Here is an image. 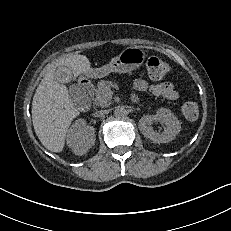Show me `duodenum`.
<instances>
[{"mask_svg": "<svg viewBox=\"0 0 231 231\" xmlns=\"http://www.w3.org/2000/svg\"><path fill=\"white\" fill-rule=\"evenodd\" d=\"M85 95L82 99V103L85 107L89 105L90 97L93 94V85L90 82L84 84Z\"/></svg>", "mask_w": 231, "mask_h": 231, "instance_id": "410a0bca", "label": "duodenum"}]
</instances>
